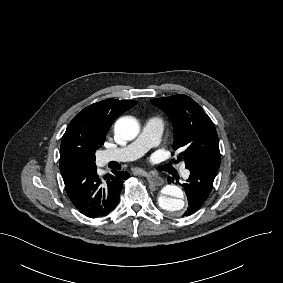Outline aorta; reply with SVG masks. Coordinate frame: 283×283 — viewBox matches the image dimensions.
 <instances>
[{
    "label": "aorta",
    "instance_id": "obj_1",
    "mask_svg": "<svg viewBox=\"0 0 283 283\" xmlns=\"http://www.w3.org/2000/svg\"><path fill=\"white\" fill-rule=\"evenodd\" d=\"M140 127L136 119L121 117L115 123V133L124 140H133L139 133ZM183 191L176 185H166L158 198L160 208L178 216L185 208Z\"/></svg>",
    "mask_w": 283,
    "mask_h": 283
}]
</instances>
